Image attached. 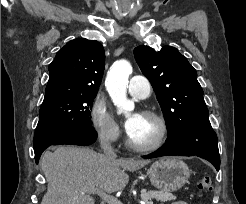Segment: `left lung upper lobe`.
I'll list each match as a JSON object with an SVG mask.
<instances>
[{"label": "left lung upper lobe", "instance_id": "1", "mask_svg": "<svg viewBox=\"0 0 246 204\" xmlns=\"http://www.w3.org/2000/svg\"><path fill=\"white\" fill-rule=\"evenodd\" d=\"M134 55L154 88L168 136L188 125L209 121L196 70L176 48L164 46L156 51L141 45L134 49Z\"/></svg>", "mask_w": 246, "mask_h": 204}]
</instances>
